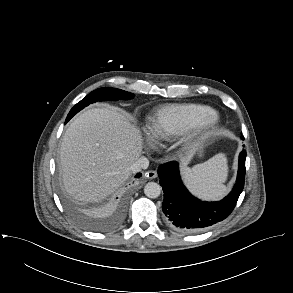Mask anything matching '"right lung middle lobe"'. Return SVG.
Listing matches in <instances>:
<instances>
[{
    "mask_svg": "<svg viewBox=\"0 0 293 293\" xmlns=\"http://www.w3.org/2000/svg\"><path fill=\"white\" fill-rule=\"evenodd\" d=\"M134 95L132 93L116 89V88H109V87H103L96 89L92 91L90 94H88L84 99H82L80 102H78L69 112L66 122H68L77 112L82 110L84 107L88 106L91 103L97 102V101H116L119 99L128 100L133 98Z\"/></svg>",
    "mask_w": 293,
    "mask_h": 293,
    "instance_id": "dd1d6c3e",
    "label": "right lung middle lobe"
}]
</instances>
